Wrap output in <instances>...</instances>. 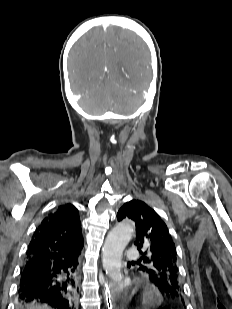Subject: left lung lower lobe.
<instances>
[{
    "instance_id": "1",
    "label": "left lung lower lobe",
    "mask_w": 232,
    "mask_h": 309,
    "mask_svg": "<svg viewBox=\"0 0 232 309\" xmlns=\"http://www.w3.org/2000/svg\"><path fill=\"white\" fill-rule=\"evenodd\" d=\"M158 309H168L166 306H160Z\"/></svg>"
}]
</instances>
